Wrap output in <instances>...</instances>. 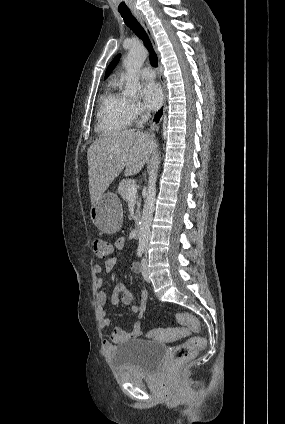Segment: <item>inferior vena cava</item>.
Here are the masks:
<instances>
[{
	"label": "inferior vena cava",
	"mask_w": 285,
	"mask_h": 424,
	"mask_svg": "<svg viewBox=\"0 0 285 424\" xmlns=\"http://www.w3.org/2000/svg\"><path fill=\"white\" fill-rule=\"evenodd\" d=\"M151 117L150 112H146L141 116V120L137 123L138 128H142L143 124Z\"/></svg>",
	"instance_id": "obj_1"
}]
</instances>
